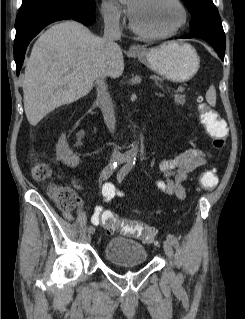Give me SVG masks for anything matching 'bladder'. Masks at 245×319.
<instances>
[{
  "label": "bladder",
  "instance_id": "1",
  "mask_svg": "<svg viewBox=\"0 0 245 319\" xmlns=\"http://www.w3.org/2000/svg\"><path fill=\"white\" fill-rule=\"evenodd\" d=\"M103 253L108 262L120 267H132L148 260L146 248L138 241L126 237L110 239L105 244Z\"/></svg>",
  "mask_w": 245,
  "mask_h": 319
}]
</instances>
